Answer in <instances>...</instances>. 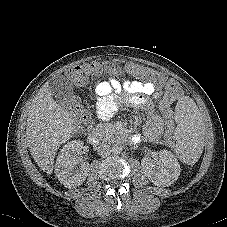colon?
Segmentation results:
<instances>
[{"label": "colon", "instance_id": "colon-1", "mask_svg": "<svg viewBox=\"0 0 227 227\" xmlns=\"http://www.w3.org/2000/svg\"><path fill=\"white\" fill-rule=\"evenodd\" d=\"M100 68L99 64L90 63L74 67L67 73V79L75 86H83L91 72ZM128 72L133 77H138L139 79L147 82L157 83L159 85H166L167 95L159 104V114L163 119L162 124L164 126V141L168 149L174 150L177 148V141L175 139V123L171 119L174 116V109L172 107L171 101L177 99L181 93L180 85L173 81L167 80L166 76L159 73L153 69H147L145 67H139L133 64L129 67ZM68 110L74 115L77 123L81 128L87 129L89 126V113L87 109L78 101L73 100L68 105Z\"/></svg>", "mask_w": 227, "mask_h": 227}]
</instances>
